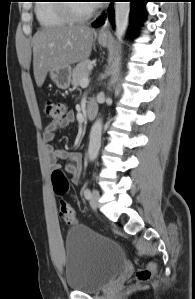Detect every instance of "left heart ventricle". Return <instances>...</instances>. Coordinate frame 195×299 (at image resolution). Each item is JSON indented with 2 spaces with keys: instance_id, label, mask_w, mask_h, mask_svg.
<instances>
[{
  "instance_id": "b2bd125f",
  "label": "left heart ventricle",
  "mask_w": 195,
  "mask_h": 299,
  "mask_svg": "<svg viewBox=\"0 0 195 299\" xmlns=\"http://www.w3.org/2000/svg\"><path fill=\"white\" fill-rule=\"evenodd\" d=\"M74 7L80 13H86L92 9V5L86 2L74 3Z\"/></svg>"
}]
</instances>
